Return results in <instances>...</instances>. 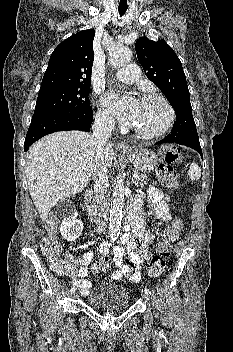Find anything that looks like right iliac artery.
Returning a JSON list of instances; mask_svg holds the SVG:
<instances>
[{
  "instance_id": "right-iliac-artery-1",
  "label": "right iliac artery",
  "mask_w": 233,
  "mask_h": 352,
  "mask_svg": "<svg viewBox=\"0 0 233 352\" xmlns=\"http://www.w3.org/2000/svg\"><path fill=\"white\" fill-rule=\"evenodd\" d=\"M70 291H71V293H74L75 292V288L72 287Z\"/></svg>"
}]
</instances>
